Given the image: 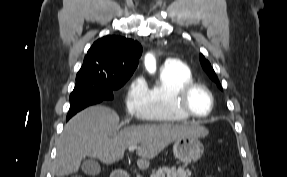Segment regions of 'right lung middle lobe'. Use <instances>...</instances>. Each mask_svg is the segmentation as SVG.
I'll use <instances>...</instances> for the list:
<instances>
[{"mask_svg": "<svg viewBox=\"0 0 287 177\" xmlns=\"http://www.w3.org/2000/svg\"><path fill=\"white\" fill-rule=\"evenodd\" d=\"M128 79L112 84H105L92 73L79 70L76 76V85L70 95V102L83 98H96L101 101L112 100L113 91L122 87Z\"/></svg>", "mask_w": 287, "mask_h": 177, "instance_id": "dd1d6c3e", "label": "right lung middle lobe"}]
</instances>
